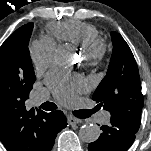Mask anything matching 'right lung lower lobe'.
I'll return each instance as SVG.
<instances>
[{
  "label": "right lung lower lobe",
  "mask_w": 151,
  "mask_h": 151,
  "mask_svg": "<svg viewBox=\"0 0 151 151\" xmlns=\"http://www.w3.org/2000/svg\"><path fill=\"white\" fill-rule=\"evenodd\" d=\"M46 124L47 136L49 137V140L48 148L45 151H50L54 144L57 133L67 126V121L62 111H54L47 114Z\"/></svg>",
  "instance_id": "1"
}]
</instances>
